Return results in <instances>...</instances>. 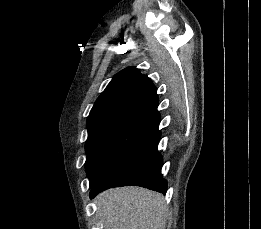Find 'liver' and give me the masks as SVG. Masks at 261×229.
Segmentation results:
<instances>
[{
  "label": "liver",
  "mask_w": 261,
  "mask_h": 229,
  "mask_svg": "<svg viewBox=\"0 0 261 229\" xmlns=\"http://www.w3.org/2000/svg\"><path fill=\"white\" fill-rule=\"evenodd\" d=\"M96 203L104 229H165L170 215L163 195L141 187L108 189Z\"/></svg>",
  "instance_id": "6515ba94"
}]
</instances>
